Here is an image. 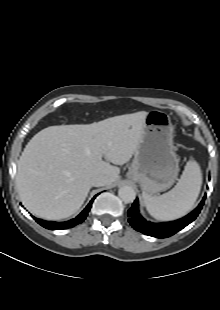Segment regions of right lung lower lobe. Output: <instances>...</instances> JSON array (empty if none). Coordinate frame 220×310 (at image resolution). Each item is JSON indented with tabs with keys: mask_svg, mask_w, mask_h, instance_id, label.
I'll list each match as a JSON object with an SVG mask.
<instances>
[{
	"mask_svg": "<svg viewBox=\"0 0 220 310\" xmlns=\"http://www.w3.org/2000/svg\"><path fill=\"white\" fill-rule=\"evenodd\" d=\"M96 196H94V198L90 201V203L86 206V208L77 217H75L72 220L58 223V222H52V221H44L41 219H37L35 217H34V219L41 226H43L46 229H50V230L67 229V228L74 227L75 225L82 223L85 220V218L88 215V212L90 211V208L92 206V202L94 201Z\"/></svg>",
	"mask_w": 220,
	"mask_h": 310,
	"instance_id": "98d812e1",
	"label": "right lung lower lobe"
}]
</instances>
